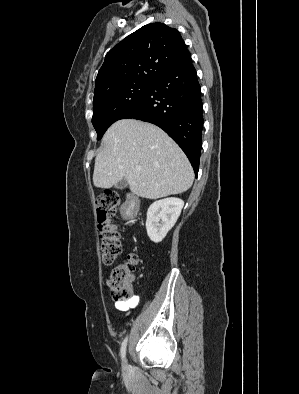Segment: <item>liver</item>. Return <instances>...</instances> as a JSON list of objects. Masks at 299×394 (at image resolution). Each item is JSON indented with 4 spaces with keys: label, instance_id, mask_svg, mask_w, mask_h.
I'll return each instance as SVG.
<instances>
[{
    "label": "liver",
    "instance_id": "obj_1",
    "mask_svg": "<svg viewBox=\"0 0 299 394\" xmlns=\"http://www.w3.org/2000/svg\"><path fill=\"white\" fill-rule=\"evenodd\" d=\"M102 142L105 147L96 156L93 173L97 188H110L125 178L132 193L158 199L185 192L193 183L188 158L155 125L121 119L107 130Z\"/></svg>",
    "mask_w": 299,
    "mask_h": 394
}]
</instances>
